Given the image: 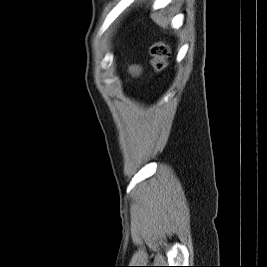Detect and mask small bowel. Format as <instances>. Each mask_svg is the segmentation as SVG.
<instances>
[{"label":"small bowel","mask_w":267,"mask_h":267,"mask_svg":"<svg viewBox=\"0 0 267 267\" xmlns=\"http://www.w3.org/2000/svg\"><path fill=\"white\" fill-rule=\"evenodd\" d=\"M130 72L134 75H137L140 73V67L137 65L131 66L130 67Z\"/></svg>","instance_id":"small-bowel-1"}]
</instances>
